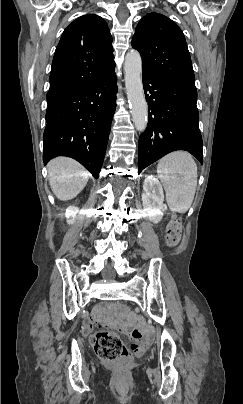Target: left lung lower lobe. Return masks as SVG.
I'll return each instance as SVG.
<instances>
[{
	"label": "left lung lower lobe",
	"mask_w": 243,
	"mask_h": 404,
	"mask_svg": "<svg viewBox=\"0 0 243 404\" xmlns=\"http://www.w3.org/2000/svg\"><path fill=\"white\" fill-rule=\"evenodd\" d=\"M148 126L139 138L138 173L164 155L185 150L203 163L195 84L142 74Z\"/></svg>",
	"instance_id": "1"
}]
</instances>
